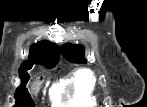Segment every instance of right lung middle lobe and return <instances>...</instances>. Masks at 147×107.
Returning a JSON list of instances; mask_svg holds the SVG:
<instances>
[{
  "instance_id": "1",
  "label": "right lung middle lobe",
  "mask_w": 147,
  "mask_h": 107,
  "mask_svg": "<svg viewBox=\"0 0 147 107\" xmlns=\"http://www.w3.org/2000/svg\"><path fill=\"white\" fill-rule=\"evenodd\" d=\"M31 68H32V65L24 67L21 71H19L22 83L16 90V94H15L16 103L14 107L33 106L32 98L30 94L28 93V90L25 88L26 83L28 82V79H29V74L26 71Z\"/></svg>"
}]
</instances>
